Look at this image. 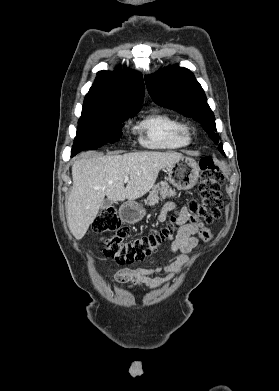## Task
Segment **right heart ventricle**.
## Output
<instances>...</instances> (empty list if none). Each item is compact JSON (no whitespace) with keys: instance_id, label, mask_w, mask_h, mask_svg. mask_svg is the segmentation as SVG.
I'll return each mask as SVG.
<instances>
[{"instance_id":"right-heart-ventricle-1","label":"right heart ventricle","mask_w":279,"mask_h":391,"mask_svg":"<svg viewBox=\"0 0 279 391\" xmlns=\"http://www.w3.org/2000/svg\"><path fill=\"white\" fill-rule=\"evenodd\" d=\"M136 130L141 144L151 149H179L190 142L186 124L164 112L146 116L138 123Z\"/></svg>"}]
</instances>
